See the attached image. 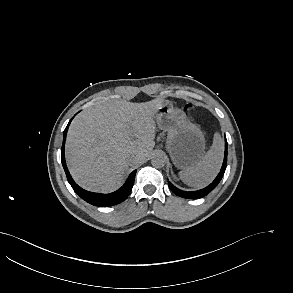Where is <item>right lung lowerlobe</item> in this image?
<instances>
[{
	"instance_id": "obj_1",
	"label": "right lung lower lobe",
	"mask_w": 293,
	"mask_h": 293,
	"mask_svg": "<svg viewBox=\"0 0 293 293\" xmlns=\"http://www.w3.org/2000/svg\"><path fill=\"white\" fill-rule=\"evenodd\" d=\"M70 122L68 123L67 127L64 130L61 158H62V165L65 170L66 176H67V180H68L69 184L72 186L73 190L86 202H88L92 205H95V206H99V207L112 206V205H116V204L124 201L128 197V195L130 194V192L132 190L136 170H134L129 175L127 181L120 189H118L117 191H115L113 193H109V194L93 193V192L86 191V190L82 189L81 187H79L74 182V180L72 179V177L66 167L65 156H64V141H65L66 133H67Z\"/></svg>"
}]
</instances>
